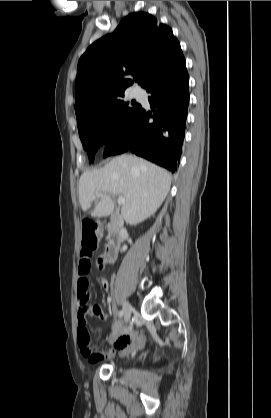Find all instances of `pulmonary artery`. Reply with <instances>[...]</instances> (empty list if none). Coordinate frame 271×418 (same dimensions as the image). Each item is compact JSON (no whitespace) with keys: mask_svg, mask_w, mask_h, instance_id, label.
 Listing matches in <instances>:
<instances>
[{"mask_svg":"<svg viewBox=\"0 0 271 418\" xmlns=\"http://www.w3.org/2000/svg\"><path fill=\"white\" fill-rule=\"evenodd\" d=\"M134 94L137 96V95H139V92L138 91H135Z\"/></svg>","mask_w":271,"mask_h":418,"instance_id":"1","label":"pulmonary artery"}]
</instances>
